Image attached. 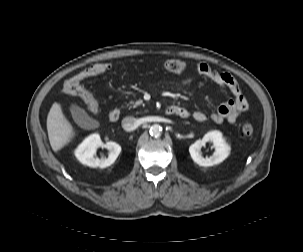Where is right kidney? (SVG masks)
<instances>
[{
	"instance_id": "ca27d5eb",
	"label": "right kidney",
	"mask_w": 303,
	"mask_h": 252,
	"mask_svg": "<svg viewBox=\"0 0 303 252\" xmlns=\"http://www.w3.org/2000/svg\"><path fill=\"white\" fill-rule=\"evenodd\" d=\"M104 147L109 151L107 158L95 157L98 148ZM121 152V146L116 142L103 143L99 134H92L87 137L75 150L76 158L89 167L106 168L112 165Z\"/></svg>"
}]
</instances>
